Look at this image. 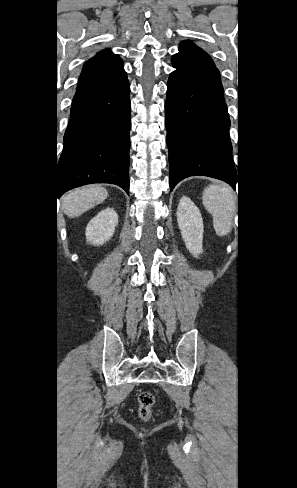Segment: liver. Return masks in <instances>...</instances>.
Listing matches in <instances>:
<instances>
[{
  "instance_id": "1",
  "label": "liver",
  "mask_w": 297,
  "mask_h": 488,
  "mask_svg": "<svg viewBox=\"0 0 297 488\" xmlns=\"http://www.w3.org/2000/svg\"><path fill=\"white\" fill-rule=\"evenodd\" d=\"M107 196V190L100 186L75 189L63 197L62 208L69 218H74L102 203Z\"/></svg>"
}]
</instances>
